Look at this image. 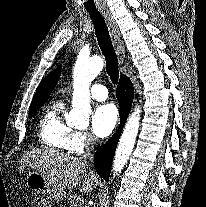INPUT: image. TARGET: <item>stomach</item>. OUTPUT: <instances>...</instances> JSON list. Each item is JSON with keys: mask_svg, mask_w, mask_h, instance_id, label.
Here are the masks:
<instances>
[{"mask_svg": "<svg viewBox=\"0 0 206 207\" xmlns=\"http://www.w3.org/2000/svg\"><path fill=\"white\" fill-rule=\"evenodd\" d=\"M25 181L27 186L37 193L47 195L49 198L57 195V192L48 180L36 171H28Z\"/></svg>", "mask_w": 206, "mask_h": 207, "instance_id": "stomach-1", "label": "stomach"}]
</instances>
